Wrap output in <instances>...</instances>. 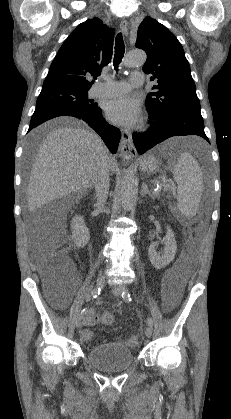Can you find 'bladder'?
<instances>
[{
	"label": "bladder",
	"mask_w": 231,
	"mask_h": 419,
	"mask_svg": "<svg viewBox=\"0 0 231 419\" xmlns=\"http://www.w3.org/2000/svg\"><path fill=\"white\" fill-rule=\"evenodd\" d=\"M86 359L93 368L103 372L124 371L135 360L132 350L118 342H104L88 349Z\"/></svg>",
	"instance_id": "obj_1"
}]
</instances>
